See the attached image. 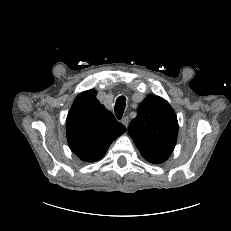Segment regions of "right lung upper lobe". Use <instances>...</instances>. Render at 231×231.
<instances>
[{"instance_id": "right-lung-upper-lobe-1", "label": "right lung upper lobe", "mask_w": 231, "mask_h": 231, "mask_svg": "<svg viewBox=\"0 0 231 231\" xmlns=\"http://www.w3.org/2000/svg\"><path fill=\"white\" fill-rule=\"evenodd\" d=\"M125 130V126L100 104L92 89L76 97L66 121L70 149L87 162L101 159L110 144Z\"/></svg>"}]
</instances>
